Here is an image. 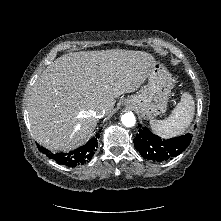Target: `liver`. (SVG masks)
<instances>
[{"mask_svg":"<svg viewBox=\"0 0 221 221\" xmlns=\"http://www.w3.org/2000/svg\"><path fill=\"white\" fill-rule=\"evenodd\" d=\"M144 51L101 50L64 54L35 82L28 101L31 133L42 146L68 152L84 144L98 119L93 110L110 114L115 98L136 91L154 66Z\"/></svg>","mask_w":221,"mask_h":221,"instance_id":"liver-1","label":"liver"}]
</instances>
